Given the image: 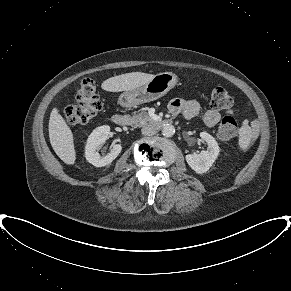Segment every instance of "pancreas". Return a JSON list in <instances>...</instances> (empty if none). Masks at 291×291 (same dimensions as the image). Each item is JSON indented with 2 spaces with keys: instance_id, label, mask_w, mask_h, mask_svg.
Listing matches in <instances>:
<instances>
[{
  "instance_id": "obj_1",
  "label": "pancreas",
  "mask_w": 291,
  "mask_h": 291,
  "mask_svg": "<svg viewBox=\"0 0 291 291\" xmlns=\"http://www.w3.org/2000/svg\"><path fill=\"white\" fill-rule=\"evenodd\" d=\"M149 122H152V119L149 117V115L146 111H140L138 113H135L130 118V124L133 127H140V126L147 124Z\"/></svg>"
}]
</instances>
